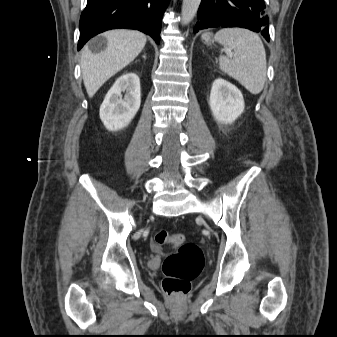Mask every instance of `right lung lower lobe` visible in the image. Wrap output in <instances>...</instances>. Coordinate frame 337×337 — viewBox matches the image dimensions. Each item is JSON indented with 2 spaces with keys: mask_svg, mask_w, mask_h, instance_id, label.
Returning <instances> with one entry per match:
<instances>
[{
  "mask_svg": "<svg viewBox=\"0 0 337 337\" xmlns=\"http://www.w3.org/2000/svg\"><path fill=\"white\" fill-rule=\"evenodd\" d=\"M169 0H87L80 18L78 50L93 36L109 29L130 28L160 42L162 15Z\"/></svg>",
  "mask_w": 337,
  "mask_h": 337,
  "instance_id": "right-lung-lower-lobe-1",
  "label": "right lung lower lobe"
}]
</instances>
